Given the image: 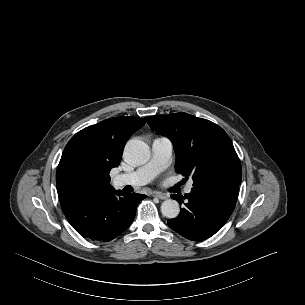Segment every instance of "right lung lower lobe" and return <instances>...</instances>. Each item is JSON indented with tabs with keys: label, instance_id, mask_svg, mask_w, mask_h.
Here are the masks:
<instances>
[{
	"label": "right lung lower lobe",
	"instance_id": "98d812e1",
	"mask_svg": "<svg viewBox=\"0 0 305 305\" xmlns=\"http://www.w3.org/2000/svg\"><path fill=\"white\" fill-rule=\"evenodd\" d=\"M143 194H126L114 189L92 191L61 203L72 227L84 238L110 241L132 223Z\"/></svg>",
	"mask_w": 305,
	"mask_h": 305
}]
</instances>
